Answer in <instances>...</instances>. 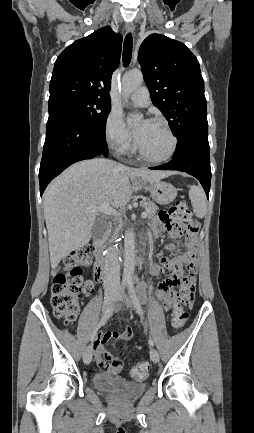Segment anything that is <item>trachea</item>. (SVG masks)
<instances>
[{
    "instance_id": "obj_1",
    "label": "trachea",
    "mask_w": 254,
    "mask_h": 433,
    "mask_svg": "<svg viewBox=\"0 0 254 433\" xmlns=\"http://www.w3.org/2000/svg\"><path fill=\"white\" fill-rule=\"evenodd\" d=\"M132 35L129 33L126 35L124 44H123V65L124 67H128L132 58Z\"/></svg>"
}]
</instances>
